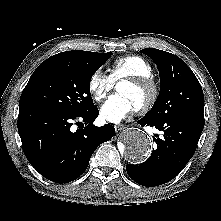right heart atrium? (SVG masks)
Wrapping results in <instances>:
<instances>
[{"label": "right heart atrium", "instance_id": "1", "mask_svg": "<svg viewBox=\"0 0 221 221\" xmlns=\"http://www.w3.org/2000/svg\"><path fill=\"white\" fill-rule=\"evenodd\" d=\"M113 88L114 81L101 70H96L89 78L88 90L96 101H102Z\"/></svg>", "mask_w": 221, "mask_h": 221}]
</instances>
